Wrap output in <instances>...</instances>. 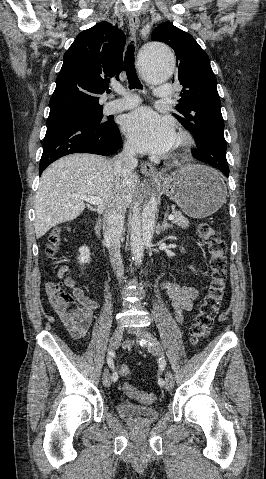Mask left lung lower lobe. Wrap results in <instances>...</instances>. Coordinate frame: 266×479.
<instances>
[{
    "instance_id": "0a47b994",
    "label": "left lung lower lobe",
    "mask_w": 266,
    "mask_h": 479,
    "mask_svg": "<svg viewBox=\"0 0 266 479\" xmlns=\"http://www.w3.org/2000/svg\"><path fill=\"white\" fill-rule=\"evenodd\" d=\"M217 168V167H216ZM223 174H225L226 177L229 176V167H226V166H221L220 168H218Z\"/></svg>"
}]
</instances>
